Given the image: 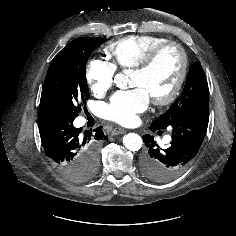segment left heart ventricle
<instances>
[{
	"label": "left heart ventricle",
	"mask_w": 236,
	"mask_h": 236,
	"mask_svg": "<svg viewBox=\"0 0 236 236\" xmlns=\"http://www.w3.org/2000/svg\"><path fill=\"white\" fill-rule=\"evenodd\" d=\"M181 66L177 49L164 50L147 72L133 71L132 86L143 87L151 97H163L173 87Z\"/></svg>",
	"instance_id": "obj_1"
}]
</instances>
